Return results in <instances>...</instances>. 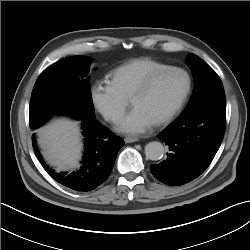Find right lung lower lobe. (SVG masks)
Listing matches in <instances>:
<instances>
[{"mask_svg": "<svg viewBox=\"0 0 250 250\" xmlns=\"http://www.w3.org/2000/svg\"><path fill=\"white\" fill-rule=\"evenodd\" d=\"M82 124L85 137V154L77 171L57 173L44 163L36 147L35 135L32 136V143L35 155L55 181L72 190L87 192L101 185L109 177L117 153L124 142L120 137L113 136L95 118L82 120Z\"/></svg>", "mask_w": 250, "mask_h": 250, "instance_id": "right-lung-lower-lobe-1", "label": "right lung lower lobe"}]
</instances>
